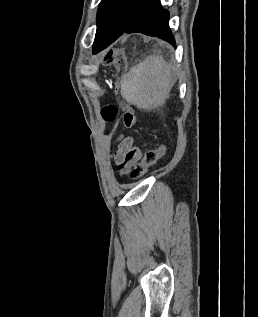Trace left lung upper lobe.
I'll list each match as a JSON object with an SVG mask.
<instances>
[{
    "instance_id": "5c2ea615",
    "label": "left lung upper lobe",
    "mask_w": 258,
    "mask_h": 317,
    "mask_svg": "<svg viewBox=\"0 0 258 317\" xmlns=\"http://www.w3.org/2000/svg\"><path fill=\"white\" fill-rule=\"evenodd\" d=\"M131 0H102L97 12V28L123 26Z\"/></svg>"
}]
</instances>
